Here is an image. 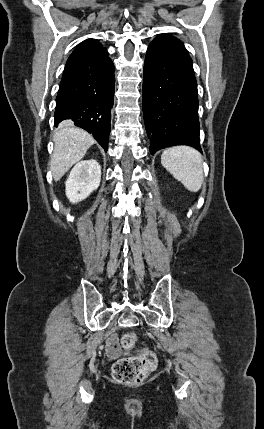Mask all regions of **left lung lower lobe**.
Returning <instances> with one entry per match:
<instances>
[{"label": "left lung lower lobe", "mask_w": 264, "mask_h": 429, "mask_svg": "<svg viewBox=\"0 0 264 429\" xmlns=\"http://www.w3.org/2000/svg\"><path fill=\"white\" fill-rule=\"evenodd\" d=\"M142 102L151 154L174 145L202 152L192 60L183 43L170 34L159 35L147 49Z\"/></svg>", "instance_id": "0a47b994"}]
</instances>
